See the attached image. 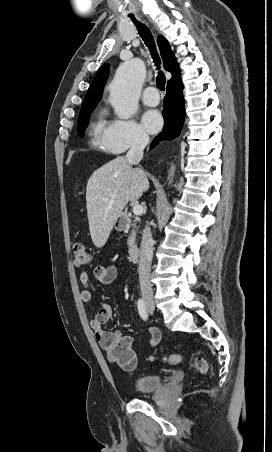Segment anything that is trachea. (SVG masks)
<instances>
[{
    "instance_id": "trachea-1",
    "label": "trachea",
    "mask_w": 272,
    "mask_h": 452,
    "mask_svg": "<svg viewBox=\"0 0 272 452\" xmlns=\"http://www.w3.org/2000/svg\"><path fill=\"white\" fill-rule=\"evenodd\" d=\"M130 18L136 25L141 38L143 39L145 44L148 46V48L151 52L153 61L155 62L157 69H159L160 68L159 67L160 58H159V55L157 54L155 42H154V39H153V36H152L150 30L145 25H143L142 23L137 21L134 18V16H130ZM165 82H166L165 75L162 72H159L157 75L156 85L161 91L165 90Z\"/></svg>"
}]
</instances>
